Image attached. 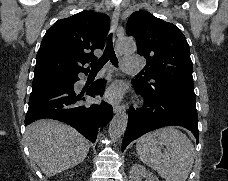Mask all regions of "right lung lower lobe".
Segmentation results:
<instances>
[{"label": "right lung lower lobe", "mask_w": 228, "mask_h": 181, "mask_svg": "<svg viewBox=\"0 0 228 181\" xmlns=\"http://www.w3.org/2000/svg\"><path fill=\"white\" fill-rule=\"evenodd\" d=\"M78 80V74H74L33 81L25 124L38 119H56L74 127L94 143L98 128L112 119L113 109L104 101L89 104L86 100L87 96L102 95L106 81L99 79L80 89L75 86Z\"/></svg>", "instance_id": "obj_1"}]
</instances>
